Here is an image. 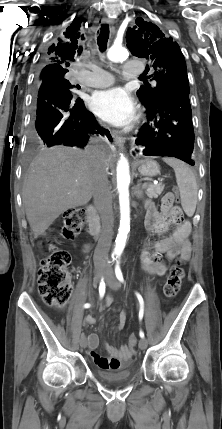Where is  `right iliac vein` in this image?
Returning a JSON list of instances; mask_svg holds the SVG:
<instances>
[{"mask_svg":"<svg viewBox=\"0 0 222 429\" xmlns=\"http://www.w3.org/2000/svg\"><path fill=\"white\" fill-rule=\"evenodd\" d=\"M104 275V270L102 268H98L95 272V283H99L102 279ZM80 346L82 348H86L87 347V339L85 337V335H81L80 340H79Z\"/></svg>","mask_w":222,"mask_h":429,"instance_id":"1","label":"right iliac vein"}]
</instances>
